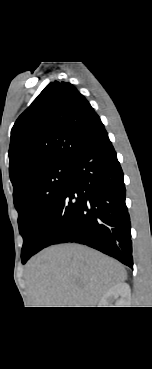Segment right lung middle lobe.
I'll return each instance as SVG.
<instances>
[{"label":"right lung middle lobe","instance_id":"obj_1","mask_svg":"<svg viewBox=\"0 0 152 369\" xmlns=\"http://www.w3.org/2000/svg\"><path fill=\"white\" fill-rule=\"evenodd\" d=\"M69 163L56 164L33 173L22 189L13 194L18 225L24 239L22 263L36 252L43 232L60 199L68 175Z\"/></svg>","mask_w":152,"mask_h":369}]
</instances>
